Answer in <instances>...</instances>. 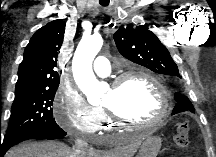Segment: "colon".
I'll list each match as a JSON object with an SVG mask.
<instances>
[{"label": "colon", "mask_w": 216, "mask_h": 157, "mask_svg": "<svg viewBox=\"0 0 216 157\" xmlns=\"http://www.w3.org/2000/svg\"><path fill=\"white\" fill-rule=\"evenodd\" d=\"M190 136V121L183 119L176 125V132L174 135V142L177 148L185 149L189 145Z\"/></svg>", "instance_id": "1"}]
</instances>
